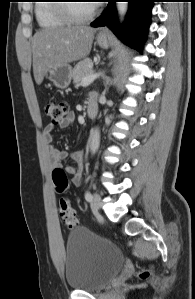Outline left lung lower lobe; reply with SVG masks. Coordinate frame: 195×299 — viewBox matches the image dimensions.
I'll return each mask as SVG.
<instances>
[{
	"label": "left lung lower lobe",
	"mask_w": 195,
	"mask_h": 299,
	"mask_svg": "<svg viewBox=\"0 0 195 299\" xmlns=\"http://www.w3.org/2000/svg\"><path fill=\"white\" fill-rule=\"evenodd\" d=\"M129 2L125 22L120 27L117 20L115 2L109 0L106 12L94 20L92 27L106 26L125 44L140 49L150 25L151 10L154 0H126Z\"/></svg>",
	"instance_id": "1"
}]
</instances>
